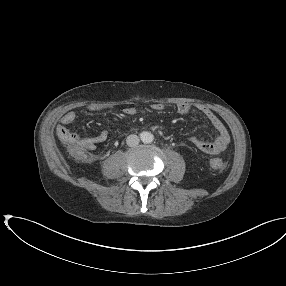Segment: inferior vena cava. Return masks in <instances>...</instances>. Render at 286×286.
I'll return each mask as SVG.
<instances>
[{
    "label": "inferior vena cava",
    "mask_w": 286,
    "mask_h": 286,
    "mask_svg": "<svg viewBox=\"0 0 286 286\" xmlns=\"http://www.w3.org/2000/svg\"><path fill=\"white\" fill-rule=\"evenodd\" d=\"M140 139L137 135L131 134L127 137L126 143L129 147H135L139 144Z\"/></svg>",
    "instance_id": "obj_1"
}]
</instances>
